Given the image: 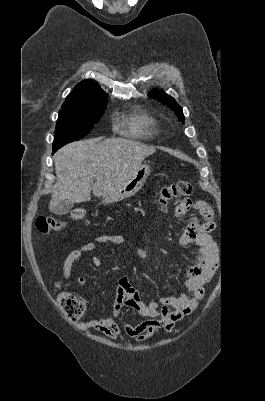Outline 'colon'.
<instances>
[{
    "label": "colon",
    "mask_w": 265,
    "mask_h": 401,
    "mask_svg": "<svg viewBox=\"0 0 265 401\" xmlns=\"http://www.w3.org/2000/svg\"><path fill=\"white\" fill-rule=\"evenodd\" d=\"M193 192V183L190 180H182L164 186L160 191L159 202L165 207L171 200L183 199L190 196ZM85 216V211L81 208L73 209L70 217L73 220H81ZM37 230L41 234H48L53 230L61 228L62 223L53 217H39L35 222ZM57 303L65 318L72 323H76L84 313L85 305L70 292H61L57 296ZM167 331L171 328L165 326Z\"/></svg>",
    "instance_id": "obj_1"
}]
</instances>
